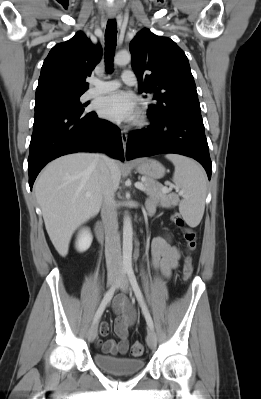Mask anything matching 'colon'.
Instances as JSON below:
<instances>
[{
  "instance_id": "colon-1",
  "label": "colon",
  "mask_w": 261,
  "mask_h": 399,
  "mask_svg": "<svg viewBox=\"0 0 261 399\" xmlns=\"http://www.w3.org/2000/svg\"><path fill=\"white\" fill-rule=\"evenodd\" d=\"M171 218L180 226L184 225V221L182 218L174 213L172 214ZM184 238L187 242V246L189 250L193 251L196 249L197 246V234L195 231L191 229H187L184 233ZM183 277L185 280H188L193 273V263H192V258L190 256H187L184 260V265H183ZM130 352L133 356L137 357L143 354L144 352V345L141 342H134L131 346Z\"/></svg>"
}]
</instances>
